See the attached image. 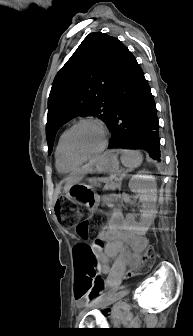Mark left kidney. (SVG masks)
Returning <instances> with one entry per match:
<instances>
[{"instance_id":"5707ae66","label":"left kidney","mask_w":193,"mask_h":336,"mask_svg":"<svg viewBox=\"0 0 193 336\" xmlns=\"http://www.w3.org/2000/svg\"><path fill=\"white\" fill-rule=\"evenodd\" d=\"M129 188L132 192L139 194L143 210L141 211V223L136 224L131 214H128L126 219L138 229H148L152 224L156 208L157 184L155 177L147 174H136L129 181Z\"/></svg>"}]
</instances>
